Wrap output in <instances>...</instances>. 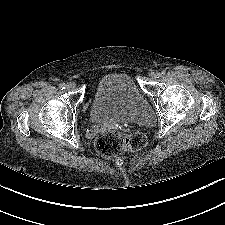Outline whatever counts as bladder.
<instances>
[{
  "label": "bladder",
  "instance_id": "1",
  "mask_svg": "<svg viewBox=\"0 0 225 225\" xmlns=\"http://www.w3.org/2000/svg\"><path fill=\"white\" fill-rule=\"evenodd\" d=\"M88 120L148 125L153 123L154 114L130 75L111 73L101 77L95 85Z\"/></svg>",
  "mask_w": 225,
  "mask_h": 225
}]
</instances>
